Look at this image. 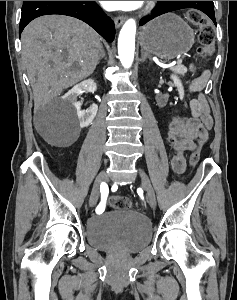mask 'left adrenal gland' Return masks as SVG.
Segmentation results:
<instances>
[{
  "mask_svg": "<svg viewBox=\"0 0 237 300\" xmlns=\"http://www.w3.org/2000/svg\"><path fill=\"white\" fill-rule=\"evenodd\" d=\"M146 59H151L150 55H148V53H144V51H142V57L140 59V61H142V63H144V61H146Z\"/></svg>",
  "mask_w": 237,
  "mask_h": 300,
  "instance_id": "left-adrenal-gland-1",
  "label": "left adrenal gland"
}]
</instances>
